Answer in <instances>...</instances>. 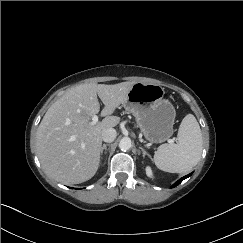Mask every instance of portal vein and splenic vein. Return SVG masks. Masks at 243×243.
Returning a JSON list of instances; mask_svg holds the SVG:
<instances>
[{
	"label": "portal vein and splenic vein",
	"instance_id": "1",
	"mask_svg": "<svg viewBox=\"0 0 243 243\" xmlns=\"http://www.w3.org/2000/svg\"><path fill=\"white\" fill-rule=\"evenodd\" d=\"M97 122H98V116H97V115H93V116H92L91 124L94 125V124H96ZM141 141H142V140H141ZM170 142L173 143V142H174V139H171Z\"/></svg>",
	"mask_w": 243,
	"mask_h": 243
}]
</instances>
